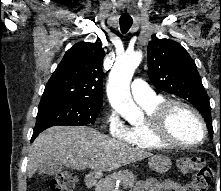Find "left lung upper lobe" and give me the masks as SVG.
I'll list each match as a JSON object with an SVG mask.
<instances>
[{
  "instance_id": "left-lung-upper-lobe-1",
  "label": "left lung upper lobe",
  "mask_w": 221,
  "mask_h": 191,
  "mask_svg": "<svg viewBox=\"0 0 221 191\" xmlns=\"http://www.w3.org/2000/svg\"><path fill=\"white\" fill-rule=\"evenodd\" d=\"M148 76L156 88L192 103L203 115L213 137L208 96L195 62L179 43L169 39L149 42Z\"/></svg>"
}]
</instances>
